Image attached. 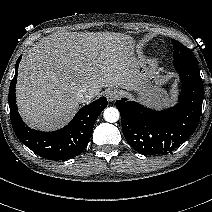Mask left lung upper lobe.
I'll use <instances>...</instances> for the list:
<instances>
[{"label":"left lung upper lobe","mask_w":212,"mask_h":212,"mask_svg":"<svg viewBox=\"0 0 212 212\" xmlns=\"http://www.w3.org/2000/svg\"><path fill=\"white\" fill-rule=\"evenodd\" d=\"M172 43L174 47V53H173L174 61H182V60L197 61L195 55L189 48L185 47L183 44L173 39Z\"/></svg>","instance_id":"left-lung-upper-lobe-1"}]
</instances>
